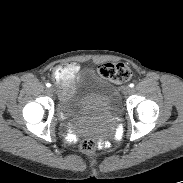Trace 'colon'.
Listing matches in <instances>:
<instances>
[{
	"instance_id": "5ec220e1",
	"label": "colon",
	"mask_w": 183,
	"mask_h": 183,
	"mask_svg": "<svg viewBox=\"0 0 183 183\" xmlns=\"http://www.w3.org/2000/svg\"><path fill=\"white\" fill-rule=\"evenodd\" d=\"M98 72L103 78L116 83H124L132 76L131 69L124 63H103L98 67ZM71 78L70 73L60 71H57L54 75L55 81L60 86L70 83ZM96 145V141L93 138H86L81 144V150L84 154L90 155L95 151Z\"/></svg>"
}]
</instances>
